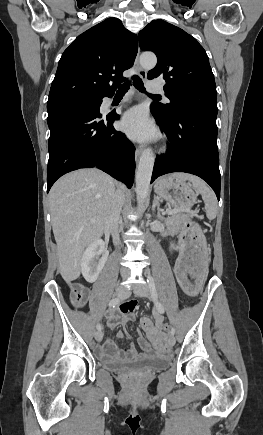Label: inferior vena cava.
Returning <instances> with one entry per match:
<instances>
[{
  "label": "inferior vena cava",
  "instance_id": "602c4592",
  "mask_svg": "<svg viewBox=\"0 0 263 435\" xmlns=\"http://www.w3.org/2000/svg\"><path fill=\"white\" fill-rule=\"evenodd\" d=\"M124 203V195L123 192L118 189L116 190L112 203L110 205L107 218H106V227L109 228L112 233L113 242L115 245L119 244V220H120V212ZM123 273H126L123 271Z\"/></svg>",
  "mask_w": 263,
  "mask_h": 435
}]
</instances>
